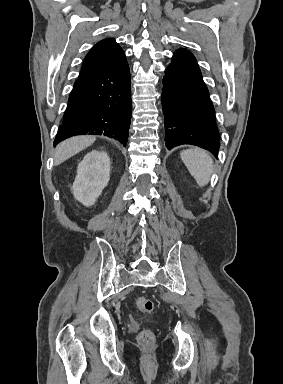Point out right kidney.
<instances>
[{"instance_id": "right-kidney-1", "label": "right kidney", "mask_w": 283, "mask_h": 384, "mask_svg": "<svg viewBox=\"0 0 283 384\" xmlns=\"http://www.w3.org/2000/svg\"><path fill=\"white\" fill-rule=\"evenodd\" d=\"M110 180V158L92 150L78 164L72 194L83 206H93Z\"/></svg>"}]
</instances>
